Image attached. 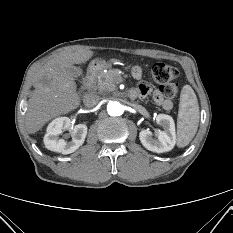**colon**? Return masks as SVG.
<instances>
[{"label": "colon", "instance_id": "colon-1", "mask_svg": "<svg viewBox=\"0 0 233 233\" xmlns=\"http://www.w3.org/2000/svg\"><path fill=\"white\" fill-rule=\"evenodd\" d=\"M178 75V70L169 64L158 62L152 66L153 79L162 85L161 92L168 99H173L178 94L179 84L176 81Z\"/></svg>", "mask_w": 233, "mask_h": 233}]
</instances>
